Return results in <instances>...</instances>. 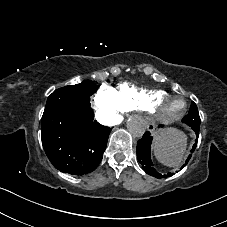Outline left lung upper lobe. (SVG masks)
Here are the masks:
<instances>
[{"instance_id":"left-lung-upper-lobe-1","label":"left lung upper lobe","mask_w":227,"mask_h":227,"mask_svg":"<svg viewBox=\"0 0 227 227\" xmlns=\"http://www.w3.org/2000/svg\"><path fill=\"white\" fill-rule=\"evenodd\" d=\"M182 121L189 126L200 127V116L194 102L191 103L189 113L182 119Z\"/></svg>"}]
</instances>
